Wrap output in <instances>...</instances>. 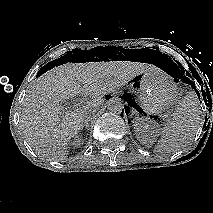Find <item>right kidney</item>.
<instances>
[{
  "label": "right kidney",
  "mask_w": 213,
  "mask_h": 213,
  "mask_svg": "<svg viewBox=\"0 0 213 213\" xmlns=\"http://www.w3.org/2000/svg\"><path fill=\"white\" fill-rule=\"evenodd\" d=\"M84 140L82 138H79V136H76L74 140L71 142V145L74 147H79L83 144Z\"/></svg>",
  "instance_id": "obj_1"
}]
</instances>
